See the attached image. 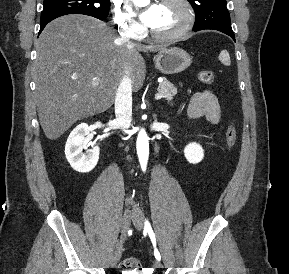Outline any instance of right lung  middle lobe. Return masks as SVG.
<instances>
[{"instance_id": "1", "label": "right lung middle lobe", "mask_w": 289, "mask_h": 274, "mask_svg": "<svg viewBox=\"0 0 289 274\" xmlns=\"http://www.w3.org/2000/svg\"><path fill=\"white\" fill-rule=\"evenodd\" d=\"M109 9V0H44L41 18L64 13H79L105 20Z\"/></svg>"}]
</instances>
